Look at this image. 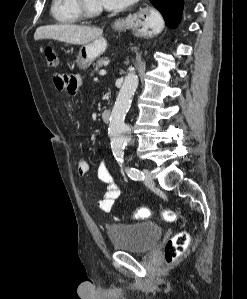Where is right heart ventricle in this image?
I'll return each instance as SVG.
<instances>
[{"mask_svg": "<svg viewBox=\"0 0 247 299\" xmlns=\"http://www.w3.org/2000/svg\"><path fill=\"white\" fill-rule=\"evenodd\" d=\"M50 13L59 24H75L82 19L76 0H52Z\"/></svg>", "mask_w": 247, "mask_h": 299, "instance_id": "right-heart-ventricle-1", "label": "right heart ventricle"}]
</instances>
